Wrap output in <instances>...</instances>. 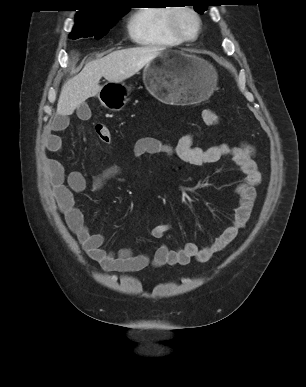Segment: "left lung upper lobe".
I'll use <instances>...</instances> for the list:
<instances>
[{"label":"left lung upper lobe","instance_id":"left-lung-upper-lobe-1","mask_svg":"<svg viewBox=\"0 0 306 387\" xmlns=\"http://www.w3.org/2000/svg\"><path fill=\"white\" fill-rule=\"evenodd\" d=\"M195 5L194 8L199 14H203L207 10V6L213 5V0H192Z\"/></svg>","mask_w":306,"mask_h":387}]
</instances>
